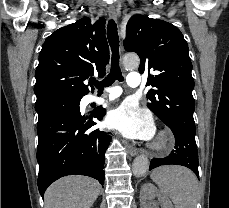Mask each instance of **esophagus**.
<instances>
[{
  "mask_svg": "<svg viewBox=\"0 0 229 208\" xmlns=\"http://www.w3.org/2000/svg\"><path fill=\"white\" fill-rule=\"evenodd\" d=\"M108 14H109V17L112 19V20H117V15H116V10L114 7H109L108 8ZM123 144L125 146V148L127 149L128 151V154L130 156H135L137 154V148H135L133 145H131L129 142L127 141H123Z\"/></svg>",
  "mask_w": 229,
  "mask_h": 208,
  "instance_id": "1",
  "label": "esophagus"
}]
</instances>
